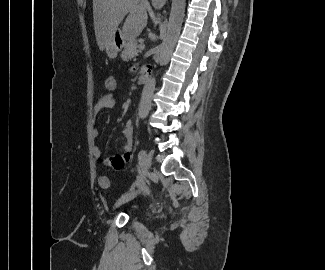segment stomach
Here are the masks:
<instances>
[{
    "label": "stomach",
    "instance_id": "0dacf381",
    "mask_svg": "<svg viewBox=\"0 0 325 270\" xmlns=\"http://www.w3.org/2000/svg\"><path fill=\"white\" fill-rule=\"evenodd\" d=\"M128 41L123 31L116 30L113 34L112 38L106 44V53L109 58L113 59L117 57L118 52L124 46V44Z\"/></svg>",
    "mask_w": 325,
    "mask_h": 270
}]
</instances>
